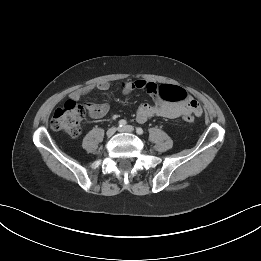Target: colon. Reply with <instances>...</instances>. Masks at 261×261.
I'll return each mask as SVG.
<instances>
[{
	"label": "colon",
	"instance_id": "obj_1",
	"mask_svg": "<svg viewBox=\"0 0 261 261\" xmlns=\"http://www.w3.org/2000/svg\"><path fill=\"white\" fill-rule=\"evenodd\" d=\"M160 97L167 102H183L187 99L184 89L174 85H163L159 88ZM85 116L83 106L75 101H67L63 107L55 110L51 127L56 131H63L71 136H77L81 131V122ZM187 122L194 120L193 114L184 115Z\"/></svg>",
	"mask_w": 261,
	"mask_h": 261
}]
</instances>
